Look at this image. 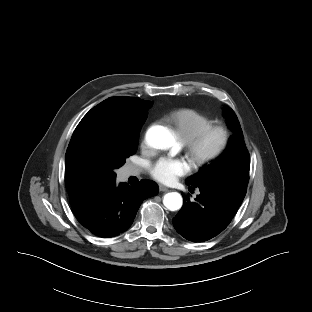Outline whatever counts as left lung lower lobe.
Instances as JSON below:
<instances>
[{"mask_svg":"<svg viewBox=\"0 0 312 312\" xmlns=\"http://www.w3.org/2000/svg\"><path fill=\"white\" fill-rule=\"evenodd\" d=\"M197 187L201 193L197 195L195 202L182 194L183 207L172 222L176 231L187 240L203 242L215 237L228 226L241 203L219 188Z\"/></svg>","mask_w":312,"mask_h":312,"instance_id":"obj_1","label":"left lung lower lobe"}]
</instances>
